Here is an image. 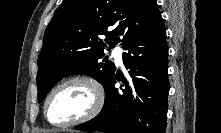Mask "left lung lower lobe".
<instances>
[{
    "label": "left lung lower lobe",
    "mask_w": 221,
    "mask_h": 133,
    "mask_svg": "<svg viewBox=\"0 0 221 133\" xmlns=\"http://www.w3.org/2000/svg\"><path fill=\"white\" fill-rule=\"evenodd\" d=\"M123 63L128 79L112 75L105 86V104L92 120L76 130L107 133H165L167 115L168 47L160 16L150 27L128 41ZM122 80L123 88L114 87Z\"/></svg>",
    "instance_id": "obj_1"
}]
</instances>
